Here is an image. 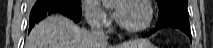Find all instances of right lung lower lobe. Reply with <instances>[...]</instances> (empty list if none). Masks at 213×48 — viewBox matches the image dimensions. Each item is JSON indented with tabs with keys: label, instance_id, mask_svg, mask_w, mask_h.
<instances>
[{
	"label": "right lung lower lobe",
	"instance_id": "right-lung-lower-lobe-1",
	"mask_svg": "<svg viewBox=\"0 0 213 48\" xmlns=\"http://www.w3.org/2000/svg\"><path fill=\"white\" fill-rule=\"evenodd\" d=\"M62 14L69 17L75 22H79L82 13L81 5L70 0H37L30 13V30L36 23L44 19L48 15Z\"/></svg>",
	"mask_w": 213,
	"mask_h": 48
}]
</instances>
